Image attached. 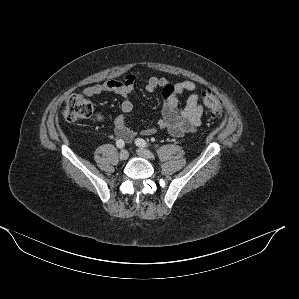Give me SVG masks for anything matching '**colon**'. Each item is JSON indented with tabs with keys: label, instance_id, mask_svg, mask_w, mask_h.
I'll list each match as a JSON object with an SVG mask.
<instances>
[{
	"label": "colon",
	"instance_id": "obj_1",
	"mask_svg": "<svg viewBox=\"0 0 299 299\" xmlns=\"http://www.w3.org/2000/svg\"><path fill=\"white\" fill-rule=\"evenodd\" d=\"M204 105L216 117L224 116V106L222 101L213 93L205 91L202 94ZM94 112V104L79 94H72L67 97L63 117L69 122H80L90 118Z\"/></svg>",
	"mask_w": 299,
	"mask_h": 299
}]
</instances>
